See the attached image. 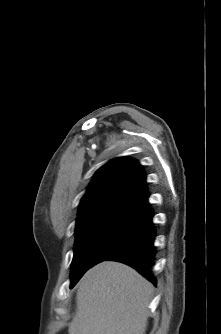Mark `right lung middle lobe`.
<instances>
[{
  "label": "right lung middle lobe",
  "instance_id": "obj_1",
  "mask_svg": "<svg viewBox=\"0 0 221 334\" xmlns=\"http://www.w3.org/2000/svg\"><path fill=\"white\" fill-rule=\"evenodd\" d=\"M145 220L141 216L117 214L93 216L80 223L75 230L70 288L86 270L106 260L127 242Z\"/></svg>",
  "mask_w": 221,
  "mask_h": 334
}]
</instances>
